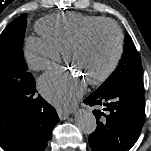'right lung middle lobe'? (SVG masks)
<instances>
[{"label": "right lung middle lobe", "mask_w": 151, "mask_h": 151, "mask_svg": "<svg viewBox=\"0 0 151 151\" xmlns=\"http://www.w3.org/2000/svg\"><path fill=\"white\" fill-rule=\"evenodd\" d=\"M26 19V13L17 17L0 35V75L8 77L12 83L27 73L22 50ZM18 95L19 91L9 90L0 98V104L15 107Z\"/></svg>", "instance_id": "obj_1"}]
</instances>
